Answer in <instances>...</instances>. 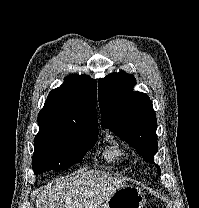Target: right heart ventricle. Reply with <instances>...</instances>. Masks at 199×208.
<instances>
[{"mask_svg": "<svg viewBox=\"0 0 199 208\" xmlns=\"http://www.w3.org/2000/svg\"><path fill=\"white\" fill-rule=\"evenodd\" d=\"M103 156L108 162L120 163L127 161L130 154L117 140L110 138V143L105 148Z\"/></svg>", "mask_w": 199, "mask_h": 208, "instance_id": "obj_1", "label": "right heart ventricle"}]
</instances>
